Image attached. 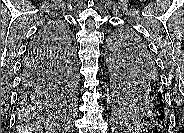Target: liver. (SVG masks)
I'll return each mask as SVG.
<instances>
[{
    "instance_id": "obj_1",
    "label": "liver",
    "mask_w": 184,
    "mask_h": 133,
    "mask_svg": "<svg viewBox=\"0 0 184 133\" xmlns=\"http://www.w3.org/2000/svg\"><path fill=\"white\" fill-rule=\"evenodd\" d=\"M29 132H35V133H56V129L51 127L47 122H38L33 125L28 130Z\"/></svg>"
}]
</instances>
